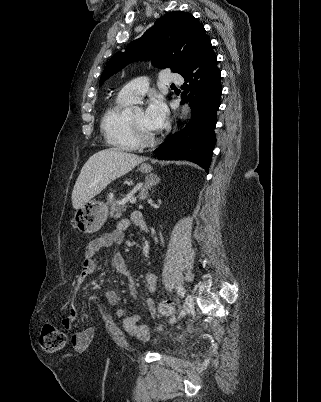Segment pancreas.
I'll list each match as a JSON object with an SVG mask.
<instances>
[{
  "instance_id": "1",
  "label": "pancreas",
  "mask_w": 321,
  "mask_h": 402,
  "mask_svg": "<svg viewBox=\"0 0 321 402\" xmlns=\"http://www.w3.org/2000/svg\"><path fill=\"white\" fill-rule=\"evenodd\" d=\"M110 216L113 218H119L123 212L126 211V202L125 201H118L114 198H110Z\"/></svg>"
}]
</instances>
